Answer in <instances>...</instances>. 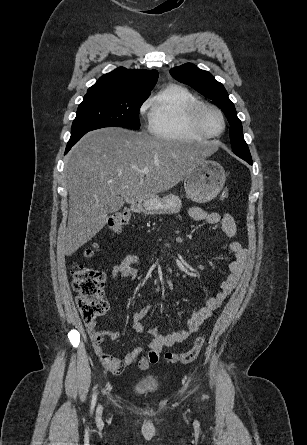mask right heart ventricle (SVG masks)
Returning <instances> with one entry per match:
<instances>
[{
	"label": "right heart ventricle",
	"instance_id": "e07e8e85",
	"mask_svg": "<svg viewBox=\"0 0 307 445\" xmlns=\"http://www.w3.org/2000/svg\"><path fill=\"white\" fill-rule=\"evenodd\" d=\"M146 104L153 106L149 115L150 131L166 140H204L198 130L194 113L197 99L185 88L168 86L157 88Z\"/></svg>",
	"mask_w": 307,
	"mask_h": 445
}]
</instances>
